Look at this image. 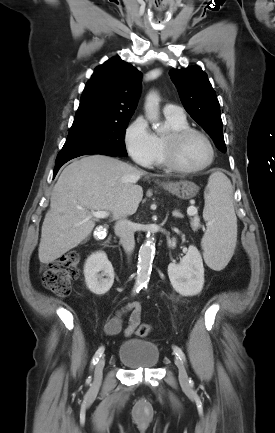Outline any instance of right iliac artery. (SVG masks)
<instances>
[{
    "label": "right iliac artery",
    "instance_id": "right-iliac-artery-1",
    "mask_svg": "<svg viewBox=\"0 0 275 433\" xmlns=\"http://www.w3.org/2000/svg\"><path fill=\"white\" fill-rule=\"evenodd\" d=\"M141 288H142L141 286L137 285L134 287L133 292L138 293L141 290ZM103 352H104V347L103 346L99 347L98 350L96 351L95 355L92 358L91 367H93L94 365L97 364V362L99 361V358L102 356Z\"/></svg>",
    "mask_w": 275,
    "mask_h": 433
}]
</instances>
